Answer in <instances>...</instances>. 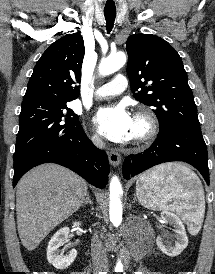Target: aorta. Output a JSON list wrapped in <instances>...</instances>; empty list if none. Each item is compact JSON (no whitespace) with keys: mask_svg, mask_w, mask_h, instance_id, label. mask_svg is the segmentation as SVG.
Wrapping results in <instances>:
<instances>
[{"mask_svg":"<svg viewBox=\"0 0 215 274\" xmlns=\"http://www.w3.org/2000/svg\"><path fill=\"white\" fill-rule=\"evenodd\" d=\"M126 62V55L123 52H117L102 59L99 65V72L101 75H110L123 67ZM110 201H109V215L110 221L118 226L122 221V203L120 195L123 193L122 186L119 179L115 176L110 182ZM116 272H121L123 265L121 260L116 264Z\"/></svg>","mask_w":215,"mask_h":274,"instance_id":"1","label":"aorta"}]
</instances>
